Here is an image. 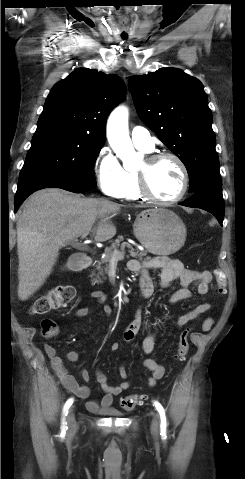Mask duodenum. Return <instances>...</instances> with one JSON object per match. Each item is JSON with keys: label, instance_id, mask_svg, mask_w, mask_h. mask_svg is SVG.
<instances>
[{"label": "duodenum", "instance_id": "1", "mask_svg": "<svg viewBox=\"0 0 245 479\" xmlns=\"http://www.w3.org/2000/svg\"><path fill=\"white\" fill-rule=\"evenodd\" d=\"M90 265L91 259L88 256H83L73 261V267L75 269L88 268Z\"/></svg>", "mask_w": 245, "mask_h": 479}]
</instances>
